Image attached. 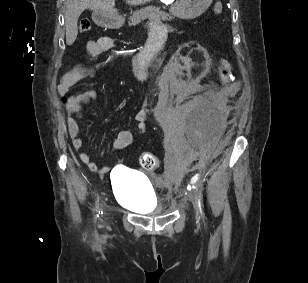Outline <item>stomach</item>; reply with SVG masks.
<instances>
[{
    "instance_id": "0dacf381",
    "label": "stomach",
    "mask_w": 308,
    "mask_h": 283,
    "mask_svg": "<svg viewBox=\"0 0 308 283\" xmlns=\"http://www.w3.org/2000/svg\"><path fill=\"white\" fill-rule=\"evenodd\" d=\"M212 0H176L170 12L181 19H194L203 14L211 5ZM94 21L104 27L117 29L123 26L124 18L109 12L96 11Z\"/></svg>"
}]
</instances>
